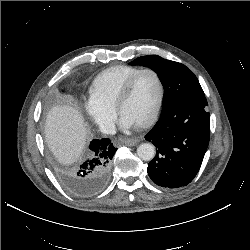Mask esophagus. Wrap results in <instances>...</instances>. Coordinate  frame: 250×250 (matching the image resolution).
<instances>
[{"label": "esophagus", "mask_w": 250, "mask_h": 250, "mask_svg": "<svg viewBox=\"0 0 250 250\" xmlns=\"http://www.w3.org/2000/svg\"><path fill=\"white\" fill-rule=\"evenodd\" d=\"M120 141L128 146H134L135 144H137L139 142L138 138H122L120 139Z\"/></svg>", "instance_id": "esophagus-1"}]
</instances>
